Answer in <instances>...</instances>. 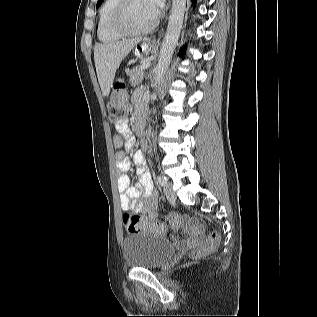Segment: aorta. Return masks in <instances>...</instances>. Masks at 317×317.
Returning <instances> with one entry per match:
<instances>
[{
    "label": "aorta",
    "mask_w": 317,
    "mask_h": 317,
    "mask_svg": "<svg viewBox=\"0 0 317 317\" xmlns=\"http://www.w3.org/2000/svg\"><path fill=\"white\" fill-rule=\"evenodd\" d=\"M185 9L186 0H172V8L165 38L160 48L158 63L154 69V92L152 93V98L156 97L157 89L164 78L178 43L183 25Z\"/></svg>",
    "instance_id": "762f6f07"
}]
</instances>
